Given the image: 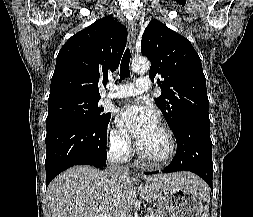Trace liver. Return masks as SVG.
I'll return each mask as SVG.
<instances>
[{
    "mask_svg": "<svg viewBox=\"0 0 253 217\" xmlns=\"http://www.w3.org/2000/svg\"><path fill=\"white\" fill-rule=\"evenodd\" d=\"M115 184L105 172L92 166H74L57 176L48 186L51 217H127L138 192L146 200H157L165 185L206 191V184L190 172L144 176L145 183L118 178Z\"/></svg>",
    "mask_w": 253,
    "mask_h": 217,
    "instance_id": "1",
    "label": "liver"
}]
</instances>
